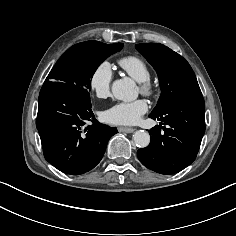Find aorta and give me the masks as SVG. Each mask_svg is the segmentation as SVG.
I'll return each mask as SVG.
<instances>
[{"instance_id": "762f6f07", "label": "aorta", "mask_w": 236, "mask_h": 236, "mask_svg": "<svg viewBox=\"0 0 236 236\" xmlns=\"http://www.w3.org/2000/svg\"><path fill=\"white\" fill-rule=\"evenodd\" d=\"M113 96L125 102H131L138 97L135 82L128 78L115 80L112 84ZM133 140L138 147H147L150 143V135L144 130H138L133 135Z\"/></svg>"}]
</instances>
